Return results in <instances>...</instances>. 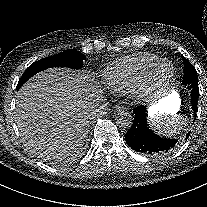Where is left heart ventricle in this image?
<instances>
[{"mask_svg":"<svg viewBox=\"0 0 207 207\" xmlns=\"http://www.w3.org/2000/svg\"><path fill=\"white\" fill-rule=\"evenodd\" d=\"M172 67L170 64H163L153 75V81L157 85H162L166 82L171 74Z\"/></svg>","mask_w":207,"mask_h":207,"instance_id":"b2bd125f","label":"left heart ventricle"}]
</instances>
